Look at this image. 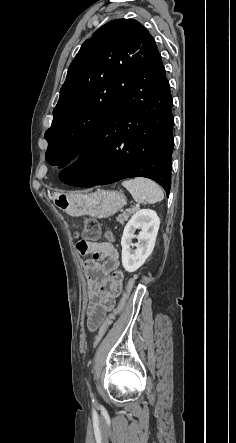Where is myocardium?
Wrapping results in <instances>:
<instances>
[{
    "label": "myocardium",
    "instance_id": "myocardium-1",
    "mask_svg": "<svg viewBox=\"0 0 236 443\" xmlns=\"http://www.w3.org/2000/svg\"><path fill=\"white\" fill-rule=\"evenodd\" d=\"M83 155V150L79 147L71 149L66 156V159L69 163L77 162L81 156Z\"/></svg>",
    "mask_w": 236,
    "mask_h": 443
}]
</instances>
